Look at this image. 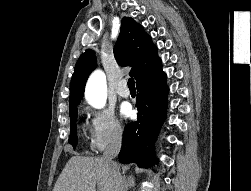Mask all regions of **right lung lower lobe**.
<instances>
[{
  "label": "right lung lower lobe",
  "instance_id": "1",
  "mask_svg": "<svg viewBox=\"0 0 251 191\" xmlns=\"http://www.w3.org/2000/svg\"><path fill=\"white\" fill-rule=\"evenodd\" d=\"M136 122L126 125L122 147L119 153L121 163H136L139 167H148L155 162L153 143L160 130L167 109L168 87L166 75L137 86Z\"/></svg>",
  "mask_w": 251,
  "mask_h": 191
}]
</instances>
